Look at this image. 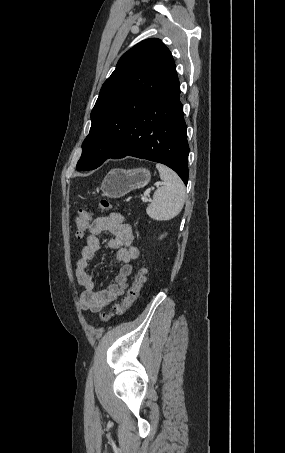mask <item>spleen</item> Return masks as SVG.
Returning <instances> with one entry per match:
<instances>
[{
  "label": "spleen",
  "instance_id": "3e777b00",
  "mask_svg": "<svg viewBox=\"0 0 285 453\" xmlns=\"http://www.w3.org/2000/svg\"><path fill=\"white\" fill-rule=\"evenodd\" d=\"M165 185L158 188L146 212L157 221H166L177 216L185 202V187L180 177L170 168L156 164Z\"/></svg>",
  "mask_w": 285,
  "mask_h": 453
}]
</instances>
